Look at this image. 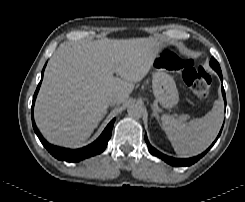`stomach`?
Instances as JSON below:
<instances>
[{"instance_id":"stomach-1","label":"stomach","mask_w":245,"mask_h":202,"mask_svg":"<svg viewBox=\"0 0 245 202\" xmlns=\"http://www.w3.org/2000/svg\"><path fill=\"white\" fill-rule=\"evenodd\" d=\"M166 51L161 48L153 60L155 72L152 75L153 94L157 102L165 108L174 107L179 100V94L173 77L168 74L163 55Z\"/></svg>"}]
</instances>
